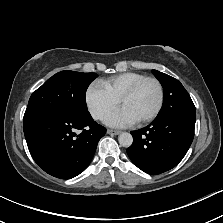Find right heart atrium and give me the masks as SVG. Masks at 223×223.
Masks as SVG:
<instances>
[{"instance_id": "right-heart-atrium-1", "label": "right heart atrium", "mask_w": 223, "mask_h": 223, "mask_svg": "<svg viewBox=\"0 0 223 223\" xmlns=\"http://www.w3.org/2000/svg\"><path fill=\"white\" fill-rule=\"evenodd\" d=\"M84 98L90 115L96 120H103L119 103L99 80L91 82L86 87Z\"/></svg>"}]
</instances>
